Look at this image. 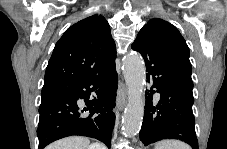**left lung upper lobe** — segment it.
<instances>
[{"mask_svg": "<svg viewBox=\"0 0 227 149\" xmlns=\"http://www.w3.org/2000/svg\"><path fill=\"white\" fill-rule=\"evenodd\" d=\"M142 30L146 31L163 54L191 79L189 48L177 28L163 19L154 18L144 25Z\"/></svg>", "mask_w": 227, "mask_h": 149, "instance_id": "left-lung-upper-lobe-1", "label": "left lung upper lobe"}]
</instances>
